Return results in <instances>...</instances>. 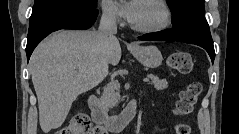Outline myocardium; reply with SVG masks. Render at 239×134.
I'll list each match as a JSON object with an SVG mask.
<instances>
[{
  "mask_svg": "<svg viewBox=\"0 0 239 134\" xmlns=\"http://www.w3.org/2000/svg\"><path fill=\"white\" fill-rule=\"evenodd\" d=\"M146 1L150 2L151 4L155 5L161 10L162 20L157 25L154 26L141 27L132 25V28L142 33H157L165 30L171 22V12L168 5L161 0H146Z\"/></svg>",
  "mask_w": 239,
  "mask_h": 134,
  "instance_id": "f54148a6",
  "label": "myocardium"
}]
</instances>
